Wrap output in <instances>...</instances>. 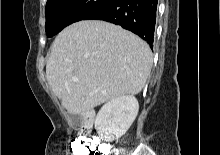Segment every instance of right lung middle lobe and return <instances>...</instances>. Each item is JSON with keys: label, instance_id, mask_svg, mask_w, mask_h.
<instances>
[{"label": "right lung middle lobe", "instance_id": "1", "mask_svg": "<svg viewBox=\"0 0 220 155\" xmlns=\"http://www.w3.org/2000/svg\"><path fill=\"white\" fill-rule=\"evenodd\" d=\"M114 0H52L46 4L45 30L47 37L58 34L66 26L84 20L105 8Z\"/></svg>", "mask_w": 220, "mask_h": 155}]
</instances>
